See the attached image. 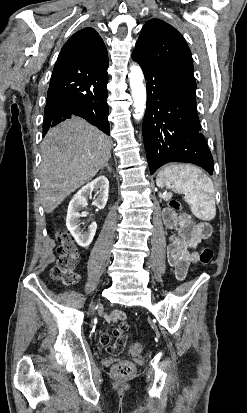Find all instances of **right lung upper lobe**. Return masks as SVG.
<instances>
[{
	"instance_id": "obj_1",
	"label": "right lung upper lobe",
	"mask_w": 247,
	"mask_h": 413,
	"mask_svg": "<svg viewBox=\"0 0 247 413\" xmlns=\"http://www.w3.org/2000/svg\"><path fill=\"white\" fill-rule=\"evenodd\" d=\"M108 67V54L99 34L86 27L73 34L60 51L55 71L89 73Z\"/></svg>"
}]
</instances>
